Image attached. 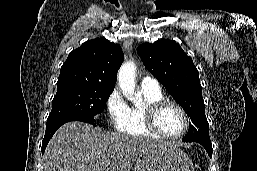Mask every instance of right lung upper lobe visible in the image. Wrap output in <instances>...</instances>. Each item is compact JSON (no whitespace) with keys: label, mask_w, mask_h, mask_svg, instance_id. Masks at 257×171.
<instances>
[{"label":"right lung upper lobe","mask_w":257,"mask_h":171,"mask_svg":"<svg viewBox=\"0 0 257 171\" xmlns=\"http://www.w3.org/2000/svg\"><path fill=\"white\" fill-rule=\"evenodd\" d=\"M123 59L120 45L103 38L89 40L69 53L61 67L57 88L84 84L114 89Z\"/></svg>","instance_id":"obj_1"}]
</instances>
